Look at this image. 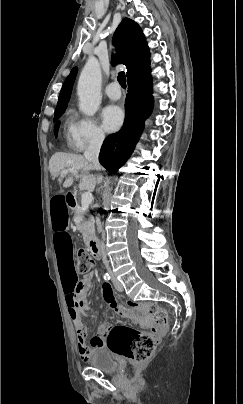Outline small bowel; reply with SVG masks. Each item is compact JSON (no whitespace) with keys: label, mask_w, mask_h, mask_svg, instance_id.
Returning a JSON list of instances; mask_svg holds the SVG:
<instances>
[{"label":"small bowel","mask_w":243,"mask_h":404,"mask_svg":"<svg viewBox=\"0 0 243 404\" xmlns=\"http://www.w3.org/2000/svg\"><path fill=\"white\" fill-rule=\"evenodd\" d=\"M50 219L68 313L77 333L79 356L82 360H87L94 350L105 346L104 337L109 326L100 325L98 335L92 337L89 343L87 342V330L80 319V314L87 310L86 294L90 289L93 273L87 274L84 280L78 281L73 261L72 239L68 232L67 194L58 192L52 196ZM103 296L115 313L123 314V309L117 304L114 291L108 284L103 286Z\"/></svg>","instance_id":"c3829d8e"}]
</instances>
